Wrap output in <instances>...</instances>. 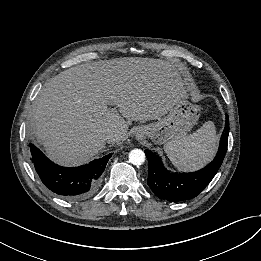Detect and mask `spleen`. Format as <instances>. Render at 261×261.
<instances>
[{
	"label": "spleen",
	"mask_w": 261,
	"mask_h": 261,
	"mask_svg": "<svg viewBox=\"0 0 261 261\" xmlns=\"http://www.w3.org/2000/svg\"><path fill=\"white\" fill-rule=\"evenodd\" d=\"M217 143L218 136L214 123L208 121L196 132L182 139L166 143L164 151L176 168L195 170L213 158Z\"/></svg>",
	"instance_id": "obj_1"
}]
</instances>
